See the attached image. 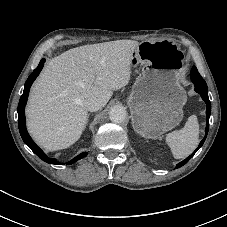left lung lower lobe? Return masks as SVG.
I'll list each match as a JSON object with an SVG mask.
<instances>
[{
	"label": "left lung lower lobe",
	"instance_id": "obj_1",
	"mask_svg": "<svg viewBox=\"0 0 227 227\" xmlns=\"http://www.w3.org/2000/svg\"><path fill=\"white\" fill-rule=\"evenodd\" d=\"M192 82L195 85V91L197 93H199L202 97V99L205 101L207 109H206V116H207V121H206V129H205V136L202 139V141L199 144V147H201L207 137L208 134V130H209V117L211 114V103L209 101V97H208V88L206 85V82H200L197 77H191ZM199 148H197L189 157H187L185 160H183L182 162L178 163L176 168H180L183 165H185L192 157L193 155L197 152Z\"/></svg>",
	"mask_w": 227,
	"mask_h": 227
}]
</instances>
